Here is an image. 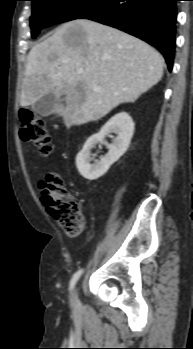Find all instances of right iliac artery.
I'll list each match as a JSON object with an SVG mask.
<instances>
[{"instance_id":"right-iliac-artery-1","label":"right iliac artery","mask_w":193,"mask_h":349,"mask_svg":"<svg viewBox=\"0 0 193 349\" xmlns=\"http://www.w3.org/2000/svg\"><path fill=\"white\" fill-rule=\"evenodd\" d=\"M82 272H83V270L81 269V270L77 271V272L73 275V277H72V279H71V281H70V291H72V289L74 288V286H75V284L77 283V281L79 280V278H80Z\"/></svg>"}]
</instances>
